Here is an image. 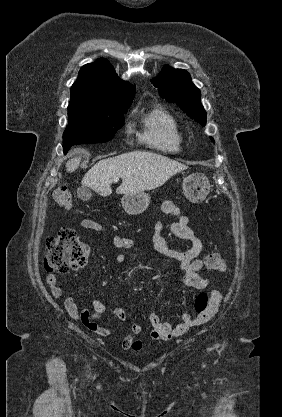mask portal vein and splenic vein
<instances>
[{
	"mask_svg": "<svg viewBox=\"0 0 282 417\" xmlns=\"http://www.w3.org/2000/svg\"><path fill=\"white\" fill-rule=\"evenodd\" d=\"M119 178H114V182H118Z\"/></svg>",
	"mask_w": 282,
	"mask_h": 417,
	"instance_id": "1",
	"label": "portal vein and splenic vein"
}]
</instances>
